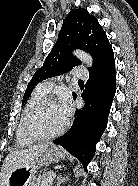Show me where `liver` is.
<instances>
[{"label":"liver","mask_w":138,"mask_h":186,"mask_svg":"<svg viewBox=\"0 0 138 186\" xmlns=\"http://www.w3.org/2000/svg\"><path fill=\"white\" fill-rule=\"evenodd\" d=\"M48 146V143H43L26 149L11 150L6 156L1 168L0 186H7L8 176L14 169L35 163L47 150Z\"/></svg>","instance_id":"6515ba94"}]
</instances>
